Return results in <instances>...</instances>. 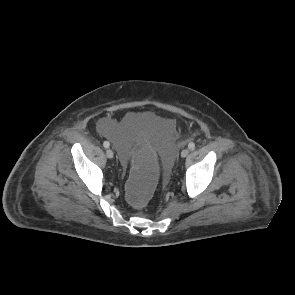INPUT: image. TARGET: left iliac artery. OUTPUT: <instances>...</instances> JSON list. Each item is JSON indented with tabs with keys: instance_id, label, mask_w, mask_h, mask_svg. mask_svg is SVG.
<instances>
[{
	"instance_id": "44dca946",
	"label": "left iliac artery",
	"mask_w": 295,
	"mask_h": 295,
	"mask_svg": "<svg viewBox=\"0 0 295 295\" xmlns=\"http://www.w3.org/2000/svg\"><path fill=\"white\" fill-rule=\"evenodd\" d=\"M188 148H189L190 150L195 149V143L190 142V143L188 144Z\"/></svg>"
}]
</instances>
